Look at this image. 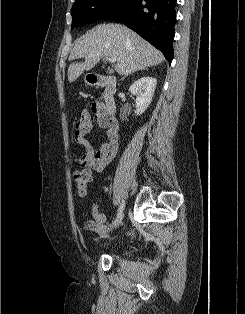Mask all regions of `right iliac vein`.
Listing matches in <instances>:
<instances>
[{
    "instance_id": "1",
    "label": "right iliac vein",
    "mask_w": 245,
    "mask_h": 314,
    "mask_svg": "<svg viewBox=\"0 0 245 314\" xmlns=\"http://www.w3.org/2000/svg\"><path fill=\"white\" fill-rule=\"evenodd\" d=\"M123 215H124V209L121 210L118 214H117V217H116V222L114 223V228L116 229L119 224L121 223L122 221V218H123Z\"/></svg>"
}]
</instances>
